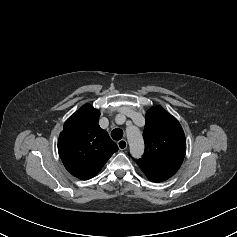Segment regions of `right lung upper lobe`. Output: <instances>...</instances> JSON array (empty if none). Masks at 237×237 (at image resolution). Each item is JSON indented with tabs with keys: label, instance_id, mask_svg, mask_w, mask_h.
<instances>
[{
	"label": "right lung upper lobe",
	"instance_id": "1",
	"mask_svg": "<svg viewBox=\"0 0 237 237\" xmlns=\"http://www.w3.org/2000/svg\"><path fill=\"white\" fill-rule=\"evenodd\" d=\"M99 116L97 109L86 104L67 119L59 136V156L67 171L81 180L94 177L118 150L100 128Z\"/></svg>",
	"mask_w": 237,
	"mask_h": 237
}]
</instances>
